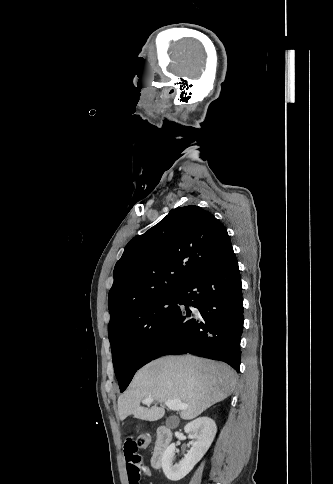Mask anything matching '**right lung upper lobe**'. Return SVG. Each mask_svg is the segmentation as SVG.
<instances>
[{
  "instance_id": "1",
  "label": "right lung upper lobe",
  "mask_w": 333,
  "mask_h": 484,
  "mask_svg": "<svg viewBox=\"0 0 333 484\" xmlns=\"http://www.w3.org/2000/svg\"><path fill=\"white\" fill-rule=\"evenodd\" d=\"M223 224L196 206L178 207L125 247L109 292V325L155 297L182 290L229 246Z\"/></svg>"
}]
</instances>
